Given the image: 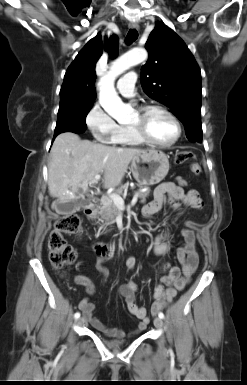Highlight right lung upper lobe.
<instances>
[{"label":"right lung upper lobe","instance_id":"cb5924a9","mask_svg":"<svg viewBox=\"0 0 247 385\" xmlns=\"http://www.w3.org/2000/svg\"><path fill=\"white\" fill-rule=\"evenodd\" d=\"M104 48L111 57H116L118 53L117 36H111L105 42ZM102 51V39L101 35L98 34L84 46L68 67L60 90V99L74 98L94 101L96 97L95 65L102 55Z\"/></svg>","mask_w":247,"mask_h":385}]
</instances>
